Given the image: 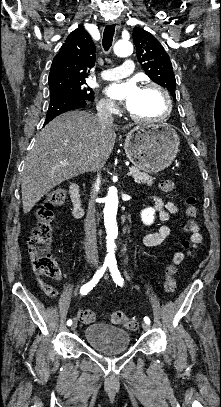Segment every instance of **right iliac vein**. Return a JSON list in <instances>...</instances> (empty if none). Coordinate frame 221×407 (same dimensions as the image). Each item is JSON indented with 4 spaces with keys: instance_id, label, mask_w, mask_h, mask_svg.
Returning <instances> with one entry per match:
<instances>
[{
    "instance_id": "63e3f726",
    "label": "right iliac vein",
    "mask_w": 221,
    "mask_h": 407,
    "mask_svg": "<svg viewBox=\"0 0 221 407\" xmlns=\"http://www.w3.org/2000/svg\"><path fill=\"white\" fill-rule=\"evenodd\" d=\"M76 327H77V321L74 320V321L72 322V324H71V330L74 331V330L76 329Z\"/></svg>"
}]
</instances>
